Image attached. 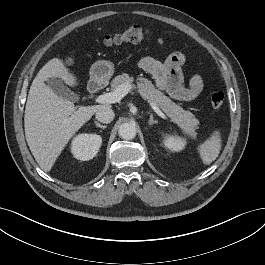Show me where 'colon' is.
Wrapping results in <instances>:
<instances>
[{"label": "colon", "instance_id": "colon-1", "mask_svg": "<svg viewBox=\"0 0 265 265\" xmlns=\"http://www.w3.org/2000/svg\"><path fill=\"white\" fill-rule=\"evenodd\" d=\"M150 35L148 30L140 26H131L121 33L106 35L102 38L105 46H119L124 43H139L148 38ZM209 101L212 107L219 108L224 104V93L220 90H212L208 93Z\"/></svg>", "mask_w": 265, "mask_h": 265}]
</instances>
